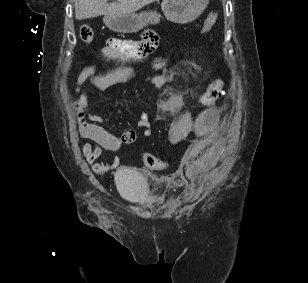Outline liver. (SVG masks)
Instances as JSON below:
<instances>
[{"instance_id": "6515ba94", "label": "liver", "mask_w": 308, "mask_h": 283, "mask_svg": "<svg viewBox=\"0 0 308 283\" xmlns=\"http://www.w3.org/2000/svg\"><path fill=\"white\" fill-rule=\"evenodd\" d=\"M156 0H118L108 3V0H74L75 18L89 19L99 15H126L134 13Z\"/></svg>"}]
</instances>
